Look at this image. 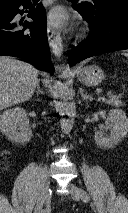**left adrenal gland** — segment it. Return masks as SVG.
Segmentation results:
<instances>
[{
    "instance_id": "a2214340",
    "label": "left adrenal gland",
    "mask_w": 128,
    "mask_h": 213,
    "mask_svg": "<svg viewBox=\"0 0 128 213\" xmlns=\"http://www.w3.org/2000/svg\"><path fill=\"white\" fill-rule=\"evenodd\" d=\"M79 92H80V95H81V97H82L83 100H88V99L90 101L92 100V96L88 95L87 93H85L84 89L81 88Z\"/></svg>"
}]
</instances>
